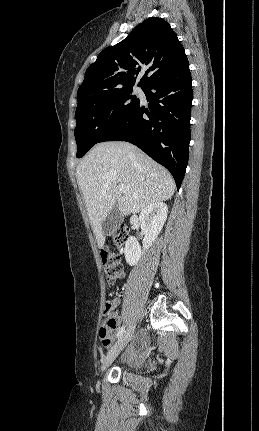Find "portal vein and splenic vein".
<instances>
[{"label":"portal vein and splenic vein","mask_w":259,"mask_h":431,"mask_svg":"<svg viewBox=\"0 0 259 431\" xmlns=\"http://www.w3.org/2000/svg\"><path fill=\"white\" fill-rule=\"evenodd\" d=\"M118 190L121 193H126L129 190V188L125 184H119Z\"/></svg>","instance_id":"1"}]
</instances>
